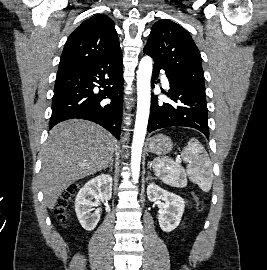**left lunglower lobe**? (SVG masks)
Here are the masks:
<instances>
[{
  "mask_svg": "<svg viewBox=\"0 0 267 270\" xmlns=\"http://www.w3.org/2000/svg\"><path fill=\"white\" fill-rule=\"evenodd\" d=\"M161 69L154 64L151 79L152 86L157 80ZM169 83L168 96L172 103L158 102L157 97L152 96L148 132L165 127L184 126L195 128L209 138L205 93L170 79Z\"/></svg>",
  "mask_w": 267,
  "mask_h": 270,
  "instance_id": "obj_1",
  "label": "left lung lower lobe"
}]
</instances>
